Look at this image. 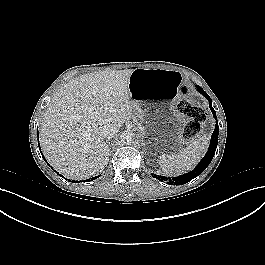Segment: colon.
Wrapping results in <instances>:
<instances>
[{"mask_svg":"<svg viewBox=\"0 0 265 265\" xmlns=\"http://www.w3.org/2000/svg\"><path fill=\"white\" fill-rule=\"evenodd\" d=\"M177 111L188 118L183 130V137L187 140H191L198 136L206 120V113L186 99L179 101Z\"/></svg>","mask_w":265,"mask_h":265,"instance_id":"1","label":"colon"}]
</instances>
